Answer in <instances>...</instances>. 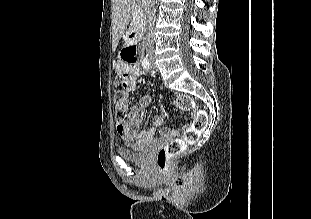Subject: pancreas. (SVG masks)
Wrapping results in <instances>:
<instances>
[{"label":"pancreas","mask_w":311,"mask_h":219,"mask_svg":"<svg viewBox=\"0 0 311 219\" xmlns=\"http://www.w3.org/2000/svg\"><path fill=\"white\" fill-rule=\"evenodd\" d=\"M141 19H142L141 17H136L135 21H141Z\"/></svg>","instance_id":"1"}]
</instances>
